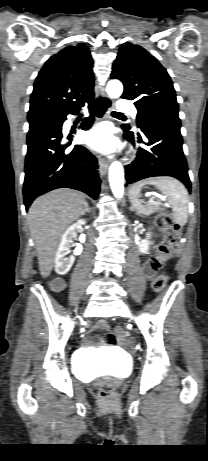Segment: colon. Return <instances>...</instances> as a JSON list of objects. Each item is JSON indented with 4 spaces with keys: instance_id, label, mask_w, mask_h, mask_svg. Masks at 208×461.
Listing matches in <instances>:
<instances>
[{
    "instance_id": "colon-1",
    "label": "colon",
    "mask_w": 208,
    "mask_h": 461,
    "mask_svg": "<svg viewBox=\"0 0 208 461\" xmlns=\"http://www.w3.org/2000/svg\"><path fill=\"white\" fill-rule=\"evenodd\" d=\"M155 225L165 234L166 243L162 245L158 253L148 261V267L153 270L163 267L171 258L172 253L180 245V227L169 214H158L155 217ZM167 280L168 278L166 275L158 276L154 281V289L156 291L163 290L166 286ZM115 332L118 334L119 340H123L125 338L122 329L117 328ZM113 392L114 386L111 382L103 381L99 384L98 394L103 399H109L113 395Z\"/></svg>"
}]
</instances>
